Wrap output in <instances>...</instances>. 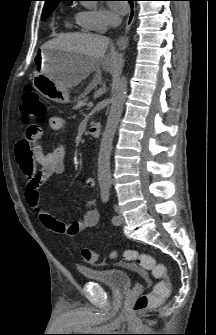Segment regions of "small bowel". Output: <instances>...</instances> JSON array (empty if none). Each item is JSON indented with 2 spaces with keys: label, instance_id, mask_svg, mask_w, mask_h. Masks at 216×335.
Listing matches in <instances>:
<instances>
[{
  "label": "small bowel",
  "instance_id": "c3829d8e",
  "mask_svg": "<svg viewBox=\"0 0 216 335\" xmlns=\"http://www.w3.org/2000/svg\"><path fill=\"white\" fill-rule=\"evenodd\" d=\"M52 130L61 131L66 121L61 116H53L49 120ZM23 140L18 144L16 154L20 168L26 178L25 200L29 208L36 214L39 221L56 234L75 236L82 231L96 226L99 222V211L92 201L85 205L86 210L81 219L65 223L44 211L40 206L38 189L52 176L61 174L65 169L67 154L66 145L60 144L52 151H45L39 141L44 138L41 124H26ZM85 187L95 186L93 176L86 177Z\"/></svg>",
  "mask_w": 216,
  "mask_h": 335
}]
</instances>
